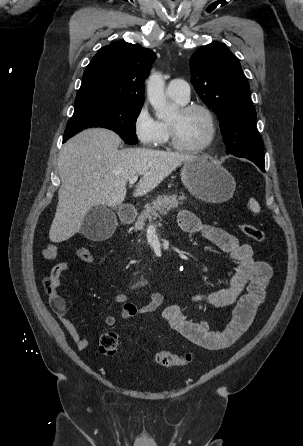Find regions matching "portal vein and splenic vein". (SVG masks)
<instances>
[{
    "mask_svg": "<svg viewBox=\"0 0 303 446\" xmlns=\"http://www.w3.org/2000/svg\"><path fill=\"white\" fill-rule=\"evenodd\" d=\"M137 179H138V176H133L129 179V183L134 184V183H136Z\"/></svg>",
    "mask_w": 303,
    "mask_h": 446,
    "instance_id": "18ae733b",
    "label": "portal vein and splenic vein"
}]
</instances>
